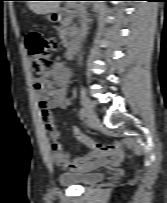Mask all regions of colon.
Returning <instances> with one entry per match:
<instances>
[{
    "instance_id": "5ec220e1",
    "label": "colon",
    "mask_w": 167,
    "mask_h": 203,
    "mask_svg": "<svg viewBox=\"0 0 167 203\" xmlns=\"http://www.w3.org/2000/svg\"><path fill=\"white\" fill-rule=\"evenodd\" d=\"M25 46L35 73H44L52 67L50 54L57 49L55 40L44 38L34 32L27 36Z\"/></svg>"
}]
</instances>
